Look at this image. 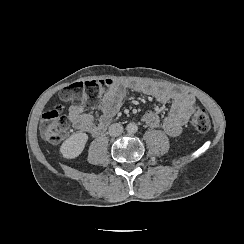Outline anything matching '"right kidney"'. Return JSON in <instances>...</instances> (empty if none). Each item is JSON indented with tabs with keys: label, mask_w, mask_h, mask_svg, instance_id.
<instances>
[{
	"label": "right kidney",
	"mask_w": 244,
	"mask_h": 244,
	"mask_svg": "<svg viewBox=\"0 0 244 244\" xmlns=\"http://www.w3.org/2000/svg\"><path fill=\"white\" fill-rule=\"evenodd\" d=\"M88 140L86 133H75L66 139L60 147L64 158L72 159L81 154Z\"/></svg>",
	"instance_id": "right-kidney-1"
}]
</instances>
